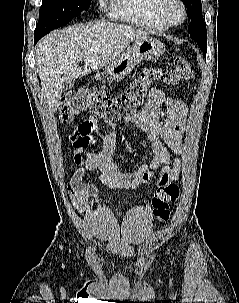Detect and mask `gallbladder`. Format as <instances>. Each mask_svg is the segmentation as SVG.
Returning a JSON list of instances; mask_svg holds the SVG:
<instances>
[{
    "label": "gallbladder",
    "instance_id": "1",
    "mask_svg": "<svg viewBox=\"0 0 239 303\" xmlns=\"http://www.w3.org/2000/svg\"><path fill=\"white\" fill-rule=\"evenodd\" d=\"M74 87V83L71 82H66L63 84V91H68L71 90Z\"/></svg>",
    "mask_w": 239,
    "mask_h": 303
}]
</instances>
